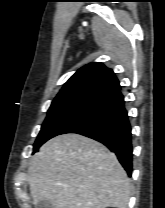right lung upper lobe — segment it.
Listing matches in <instances>:
<instances>
[{
  "mask_svg": "<svg viewBox=\"0 0 165 208\" xmlns=\"http://www.w3.org/2000/svg\"><path fill=\"white\" fill-rule=\"evenodd\" d=\"M120 85L113 71L102 63L93 62L80 68L63 86L51 106L89 105L120 93Z\"/></svg>",
  "mask_w": 165,
  "mask_h": 208,
  "instance_id": "cb5924a9",
  "label": "right lung upper lobe"
}]
</instances>
